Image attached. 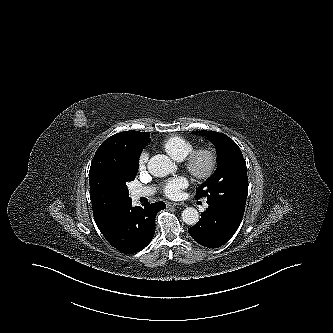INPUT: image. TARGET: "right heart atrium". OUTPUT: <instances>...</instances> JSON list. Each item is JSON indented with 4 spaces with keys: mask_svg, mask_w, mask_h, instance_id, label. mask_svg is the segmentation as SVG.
<instances>
[{
    "mask_svg": "<svg viewBox=\"0 0 333 333\" xmlns=\"http://www.w3.org/2000/svg\"><path fill=\"white\" fill-rule=\"evenodd\" d=\"M147 162H148V153L146 151H143L138 159L139 170L145 169Z\"/></svg>",
    "mask_w": 333,
    "mask_h": 333,
    "instance_id": "1",
    "label": "right heart atrium"
}]
</instances>
